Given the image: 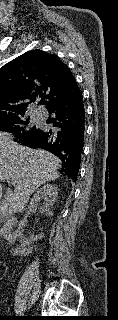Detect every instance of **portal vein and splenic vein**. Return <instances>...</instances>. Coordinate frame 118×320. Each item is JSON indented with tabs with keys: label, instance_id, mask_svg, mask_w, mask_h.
Segmentation results:
<instances>
[{
	"label": "portal vein and splenic vein",
	"instance_id": "portal-vein-and-splenic-vein-1",
	"mask_svg": "<svg viewBox=\"0 0 118 320\" xmlns=\"http://www.w3.org/2000/svg\"><path fill=\"white\" fill-rule=\"evenodd\" d=\"M7 182H8V183H11V184H13V185L15 184V182H13V181L7 180Z\"/></svg>",
	"mask_w": 118,
	"mask_h": 320
}]
</instances>
